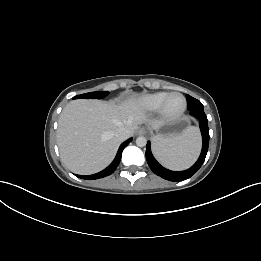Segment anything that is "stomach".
Segmentation results:
<instances>
[{
	"label": "stomach",
	"instance_id": "obj_1",
	"mask_svg": "<svg viewBox=\"0 0 261 261\" xmlns=\"http://www.w3.org/2000/svg\"><path fill=\"white\" fill-rule=\"evenodd\" d=\"M187 118H181L172 122H165L159 128L155 129L157 135L155 137H172L183 132L188 125Z\"/></svg>",
	"mask_w": 261,
	"mask_h": 261
}]
</instances>
